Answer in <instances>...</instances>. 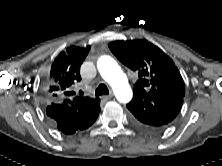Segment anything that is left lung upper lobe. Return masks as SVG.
<instances>
[{"label":"left lung upper lobe","instance_id":"obj_1","mask_svg":"<svg viewBox=\"0 0 222 166\" xmlns=\"http://www.w3.org/2000/svg\"><path fill=\"white\" fill-rule=\"evenodd\" d=\"M111 52L127 67L138 72L133 93L154 97L160 93L185 95L183 79L171 58L146 40L114 41Z\"/></svg>","mask_w":222,"mask_h":166}]
</instances>
